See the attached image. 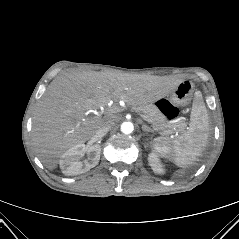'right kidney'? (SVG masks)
I'll return each mask as SVG.
<instances>
[{"label":"right kidney","instance_id":"obj_1","mask_svg":"<svg viewBox=\"0 0 239 239\" xmlns=\"http://www.w3.org/2000/svg\"><path fill=\"white\" fill-rule=\"evenodd\" d=\"M100 152L99 145L86 147L83 143L77 144L62 155L59 161L60 168L68 176L85 173L99 163ZM85 153L87 159L81 161L80 159Z\"/></svg>","mask_w":239,"mask_h":239}]
</instances>
